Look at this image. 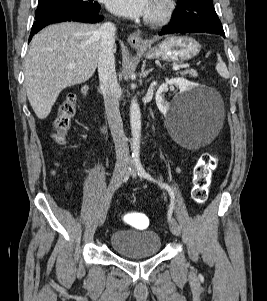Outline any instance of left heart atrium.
I'll use <instances>...</instances> for the list:
<instances>
[{
  "label": "left heart atrium",
  "instance_id": "1",
  "mask_svg": "<svg viewBox=\"0 0 267 301\" xmlns=\"http://www.w3.org/2000/svg\"><path fill=\"white\" fill-rule=\"evenodd\" d=\"M108 9L119 16L138 18L151 12V0H107Z\"/></svg>",
  "mask_w": 267,
  "mask_h": 301
}]
</instances>
